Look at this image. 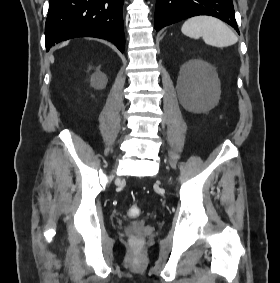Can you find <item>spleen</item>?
<instances>
[{"label": "spleen", "instance_id": "obj_1", "mask_svg": "<svg viewBox=\"0 0 280 283\" xmlns=\"http://www.w3.org/2000/svg\"><path fill=\"white\" fill-rule=\"evenodd\" d=\"M181 31L184 35L199 39L215 47H228L237 43L235 33L222 21L211 16H195L189 18L182 25Z\"/></svg>", "mask_w": 280, "mask_h": 283}]
</instances>
